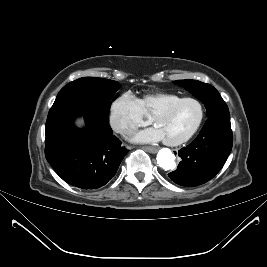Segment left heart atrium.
I'll return each instance as SVG.
<instances>
[{
  "label": "left heart atrium",
  "instance_id": "1",
  "mask_svg": "<svg viewBox=\"0 0 267 267\" xmlns=\"http://www.w3.org/2000/svg\"><path fill=\"white\" fill-rule=\"evenodd\" d=\"M162 139L163 136L156 127L140 131L133 137V140L136 142H157Z\"/></svg>",
  "mask_w": 267,
  "mask_h": 267
}]
</instances>
